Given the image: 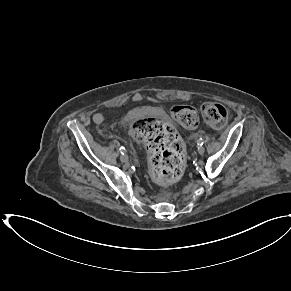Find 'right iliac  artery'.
<instances>
[{"instance_id":"obj_1","label":"right iliac artery","mask_w":291,"mask_h":291,"mask_svg":"<svg viewBox=\"0 0 291 291\" xmlns=\"http://www.w3.org/2000/svg\"><path fill=\"white\" fill-rule=\"evenodd\" d=\"M120 153L123 155L125 153V148L124 147H120Z\"/></svg>"}]
</instances>
